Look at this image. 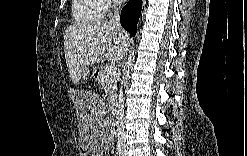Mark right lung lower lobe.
Returning a JSON list of instances; mask_svg holds the SVG:
<instances>
[{
	"label": "right lung lower lobe",
	"mask_w": 247,
	"mask_h": 156,
	"mask_svg": "<svg viewBox=\"0 0 247 156\" xmlns=\"http://www.w3.org/2000/svg\"><path fill=\"white\" fill-rule=\"evenodd\" d=\"M141 8L142 0H129L121 11V25L130 33L131 36H135L136 34L137 22L140 17Z\"/></svg>",
	"instance_id": "right-lung-lower-lobe-1"
}]
</instances>
